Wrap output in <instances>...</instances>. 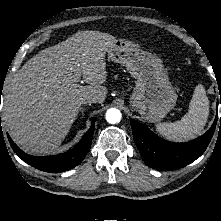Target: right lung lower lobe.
<instances>
[{
    "label": "right lung lower lobe",
    "mask_w": 221,
    "mask_h": 221,
    "mask_svg": "<svg viewBox=\"0 0 221 221\" xmlns=\"http://www.w3.org/2000/svg\"><path fill=\"white\" fill-rule=\"evenodd\" d=\"M96 118L92 120L90 129L85 133L81 141L70 151L54 156H31L24 153L8 136V140L14 152L26 163L29 165L50 173H59L63 171L70 170L71 168L77 166L84 159L86 154L88 153L93 133L95 129ZM0 127H1V118H0ZM2 130V128H1Z\"/></svg>",
    "instance_id": "obj_1"
}]
</instances>
